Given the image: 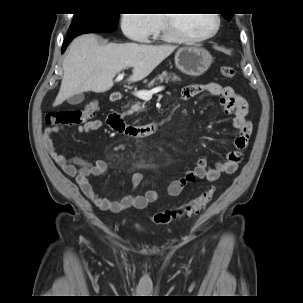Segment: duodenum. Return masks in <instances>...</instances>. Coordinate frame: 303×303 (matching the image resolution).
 <instances>
[{
	"instance_id": "1",
	"label": "duodenum",
	"mask_w": 303,
	"mask_h": 303,
	"mask_svg": "<svg viewBox=\"0 0 303 303\" xmlns=\"http://www.w3.org/2000/svg\"><path fill=\"white\" fill-rule=\"evenodd\" d=\"M120 93H112L111 94V101L117 102L121 100ZM109 120L114 124V130L118 134H123L130 138H138V137H145L154 132H156L160 126V120H156L146 125H134V124H127L124 122L122 114L118 111H114L110 113Z\"/></svg>"
}]
</instances>
